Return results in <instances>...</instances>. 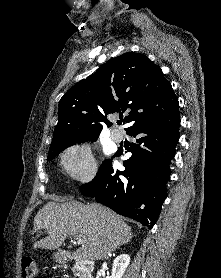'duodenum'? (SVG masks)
<instances>
[{
  "label": "duodenum",
  "instance_id": "duodenum-1",
  "mask_svg": "<svg viewBox=\"0 0 221 278\" xmlns=\"http://www.w3.org/2000/svg\"><path fill=\"white\" fill-rule=\"evenodd\" d=\"M73 268L77 272L79 278H92V262L84 259H77L73 263Z\"/></svg>",
  "mask_w": 221,
  "mask_h": 278
}]
</instances>
